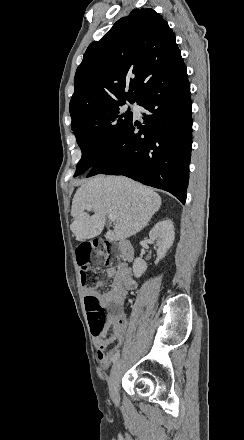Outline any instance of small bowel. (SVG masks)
<instances>
[{
  "mask_svg": "<svg viewBox=\"0 0 244 440\" xmlns=\"http://www.w3.org/2000/svg\"><path fill=\"white\" fill-rule=\"evenodd\" d=\"M105 276L112 279L109 289L105 292L94 293H88L86 290H83L84 299L93 297L105 308L123 307L128 293L137 287V282L133 277L130 267L125 263H121L117 267L107 268ZM86 309L90 310V308ZM116 317H107L106 329L111 328L110 334L105 330L102 335L95 336L94 338L96 356L102 369H108L114 362L112 358L114 351L122 347L125 335L129 329V322L127 327H114L112 321Z\"/></svg>",
  "mask_w": 244,
  "mask_h": 440,
  "instance_id": "small-bowel-1",
  "label": "small bowel"
}]
</instances>
